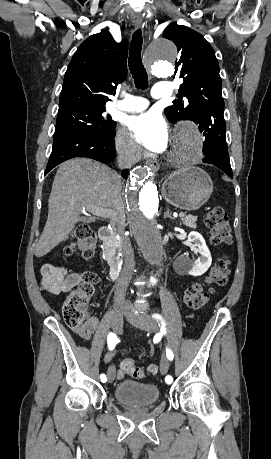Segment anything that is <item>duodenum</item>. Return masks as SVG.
I'll list each match as a JSON object with an SVG mask.
<instances>
[{
	"instance_id": "duodenum-1",
	"label": "duodenum",
	"mask_w": 271,
	"mask_h": 459,
	"mask_svg": "<svg viewBox=\"0 0 271 459\" xmlns=\"http://www.w3.org/2000/svg\"><path fill=\"white\" fill-rule=\"evenodd\" d=\"M99 239L102 243L111 250L113 246V231L108 226H103L99 229ZM109 266H110V275L113 280H115L119 275V267L117 260L110 256L108 259Z\"/></svg>"
}]
</instances>
